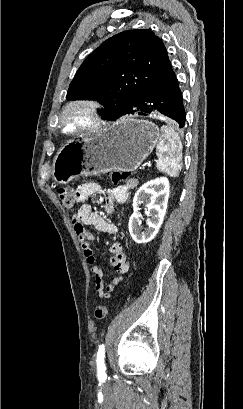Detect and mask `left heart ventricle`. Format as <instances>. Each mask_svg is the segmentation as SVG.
<instances>
[{
	"mask_svg": "<svg viewBox=\"0 0 243 409\" xmlns=\"http://www.w3.org/2000/svg\"><path fill=\"white\" fill-rule=\"evenodd\" d=\"M87 117L80 111L70 112L64 119V127L67 130H76L87 125Z\"/></svg>",
	"mask_w": 243,
	"mask_h": 409,
	"instance_id": "b2bd125f",
	"label": "left heart ventricle"
}]
</instances>
